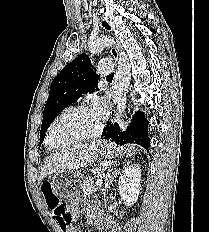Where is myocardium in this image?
<instances>
[{"label": "myocardium", "instance_id": "f54148a6", "mask_svg": "<svg viewBox=\"0 0 209 232\" xmlns=\"http://www.w3.org/2000/svg\"><path fill=\"white\" fill-rule=\"evenodd\" d=\"M78 110H85V111H90L91 108L88 107L87 105H84V104H79V105H74V106H71L69 108H66L65 110H63L53 121L52 123L50 124L48 130H47V134H46V137H45V145L47 147V149L51 150V151H55V150H59L63 147H66L68 145H71V144H74V143H77V142H81V141H85V140H88V139H91L93 137H96L97 135L100 134L102 128H103V120L100 119L98 125L96 126V128L88 133V134H85L83 136H80V137H77V138H74V139H71L69 141H67L66 143L62 144L61 146L59 147H53L50 143V137H51V134H52V130L53 128L55 127V125L58 123V121L63 117L65 116L66 114L70 113V112H73V111H78Z\"/></svg>", "mask_w": 209, "mask_h": 232}]
</instances>
